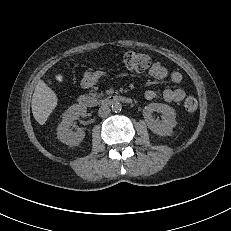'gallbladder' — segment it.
Wrapping results in <instances>:
<instances>
[{"mask_svg":"<svg viewBox=\"0 0 231 231\" xmlns=\"http://www.w3.org/2000/svg\"><path fill=\"white\" fill-rule=\"evenodd\" d=\"M56 80L57 81H62V76L61 75H56Z\"/></svg>","mask_w":231,"mask_h":231,"instance_id":"1","label":"gallbladder"}]
</instances>
